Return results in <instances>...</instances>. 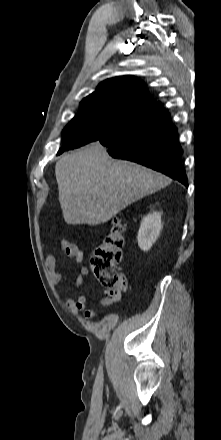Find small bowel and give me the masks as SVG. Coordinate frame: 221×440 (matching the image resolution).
I'll list each match as a JSON object with an SVG mask.
<instances>
[{"label": "small bowel", "instance_id": "c3829d8e", "mask_svg": "<svg viewBox=\"0 0 221 440\" xmlns=\"http://www.w3.org/2000/svg\"><path fill=\"white\" fill-rule=\"evenodd\" d=\"M59 247L64 253V255L76 263H82L84 260V253L79 249V247L68 240H61L59 242ZM45 267L47 272L49 273L53 282L58 283L61 281L63 277V273L56 269V258L53 254L47 253L45 255ZM89 275V269L86 266H82L80 268V273L75 279V285L81 286L83 285L85 278ZM69 291V289H68ZM121 299V294L116 293L111 290H106L104 295L98 300V304L102 307H111L116 302ZM87 298L85 294H79L76 299L69 298L66 301L67 308L75 313H82L85 318L95 319L98 314L92 309L87 308Z\"/></svg>", "mask_w": 221, "mask_h": 440}]
</instances>
